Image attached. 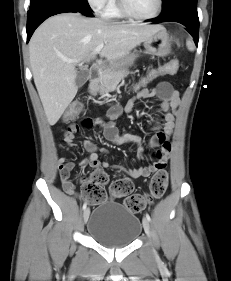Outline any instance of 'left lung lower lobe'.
<instances>
[{"instance_id":"0a47b994","label":"left lung lower lobe","mask_w":231,"mask_h":281,"mask_svg":"<svg viewBox=\"0 0 231 281\" xmlns=\"http://www.w3.org/2000/svg\"><path fill=\"white\" fill-rule=\"evenodd\" d=\"M153 23L178 22L188 28V32L194 37L198 45L199 19L197 13V0H174L163 6L162 14L149 20Z\"/></svg>"}]
</instances>
